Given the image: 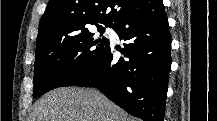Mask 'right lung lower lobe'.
I'll return each instance as SVG.
<instances>
[{"mask_svg": "<svg viewBox=\"0 0 217 121\" xmlns=\"http://www.w3.org/2000/svg\"><path fill=\"white\" fill-rule=\"evenodd\" d=\"M128 41L115 60L109 46L73 85L96 87L130 115L162 121L171 66V35L162 0H143L113 26Z\"/></svg>", "mask_w": 217, "mask_h": 121, "instance_id": "1", "label": "right lung lower lobe"}]
</instances>
